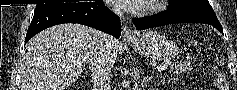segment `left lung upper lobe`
Returning <instances> with one entry per match:
<instances>
[{
    "mask_svg": "<svg viewBox=\"0 0 237 90\" xmlns=\"http://www.w3.org/2000/svg\"><path fill=\"white\" fill-rule=\"evenodd\" d=\"M169 10H188L216 16L208 0H169Z\"/></svg>",
    "mask_w": 237,
    "mask_h": 90,
    "instance_id": "1",
    "label": "left lung upper lobe"
}]
</instances>
